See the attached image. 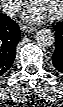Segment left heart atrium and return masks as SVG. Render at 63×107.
<instances>
[{"mask_svg": "<svg viewBox=\"0 0 63 107\" xmlns=\"http://www.w3.org/2000/svg\"><path fill=\"white\" fill-rule=\"evenodd\" d=\"M49 16V13L36 5H32L25 12L24 17L29 22H42Z\"/></svg>", "mask_w": 63, "mask_h": 107, "instance_id": "left-heart-atrium-1", "label": "left heart atrium"}]
</instances>
